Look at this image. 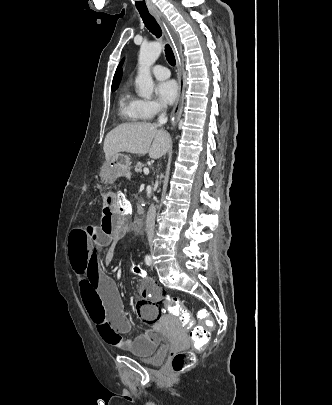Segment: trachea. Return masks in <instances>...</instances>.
<instances>
[{"label":"trachea","mask_w":332,"mask_h":405,"mask_svg":"<svg viewBox=\"0 0 332 405\" xmlns=\"http://www.w3.org/2000/svg\"><path fill=\"white\" fill-rule=\"evenodd\" d=\"M139 13L147 29L157 38H159L162 35V30L157 21L155 20V18L149 13L148 10L145 11L139 10ZM165 55L168 63L172 66H175L176 64L175 56L169 44L165 45Z\"/></svg>","instance_id":"obj_1"}]
</instances>
